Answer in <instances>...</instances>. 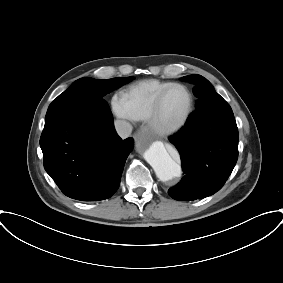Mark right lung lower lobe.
I'll return each instance as SVG.
<instances>
[{"instance_id":"98d812e1","label":"right lung lower lobe","mask_w":283,"mask_h":283,"mask_svg":"<svg viewBox=\"0 0 283 283\" xmlns=\"http://www.w3.org/2000/svg\"><path fill=\"white\" fill-rule=\"evenodd\" d=\"M40 146L46 172L66 196L99 201L118 189L133 141L116 134L110 109L99 106L47 118Z\"/></svg>"}]
</instances>
